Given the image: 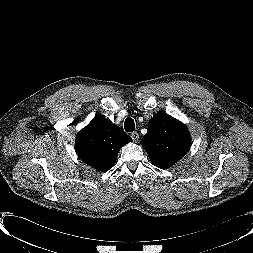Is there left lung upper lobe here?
I'll list each match as a JSON object with an SVG mask.
<instances>
[{"label": "left lung upper lobe", "instance_id": "left-lung-upper-lobe-1", "mask_svg": "<svg viewBox=\"0 0 253 253\" xmlns=\"http://www.w3.org/2000/svg\"><path fill=\"white\" fill-rule=\"evenodd\" d=\"M191 139L187 127L164 113H158L148 123V132L141 145L152 163L167 169L190 149Z\"/></svg>", "mask_w": 253, "mask_h": 253}]
</instances>
